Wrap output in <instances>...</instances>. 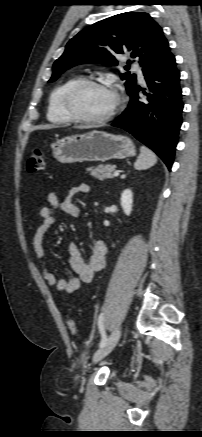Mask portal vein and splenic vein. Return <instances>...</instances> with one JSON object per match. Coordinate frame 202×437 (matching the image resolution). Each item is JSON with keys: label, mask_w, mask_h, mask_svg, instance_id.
Masks as SVG:
<instances>
[{"label": "portal vein and splenic vein", "mask_w": 202, "mask_h": 437, "mask_svg": "<svg viewBox=\"0 0 202 437\" xmlns=\"http://www.w3.org/2000/svg\"><path fill=\"white\" fill-rule=\"evenodd\" d=\"M113 176H115V177L119 176V171H115V172L113 173Z\"/></svg>", "instance_id": "obj_1"}]
</instances>
